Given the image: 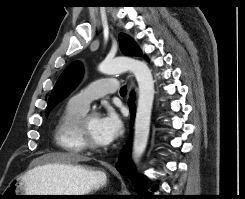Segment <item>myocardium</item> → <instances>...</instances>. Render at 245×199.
<instances>
[{"mask_svg": "<svg viewBox=\"0 0 245 199\" xmlns=\"http://www.w3.org/2000/svg\"><path fill=\"white\" fill-rule=\"evenodd\" d=\"M95 116V113L85 114L78 122L77 125V136L85 150L89 151H100L104 145L93 142L87 135L85 122L89 117Z\"/></svg>", "mask_w": 245, "mask_h": 199, "instance_id": "1", "label": "myocardium"}]
</instances>
